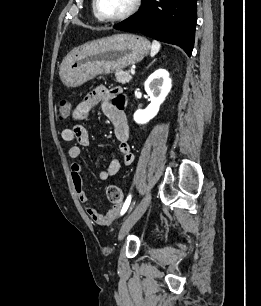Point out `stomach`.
<instances>
[{
  "instance_id": "obj_1",
  "label": "stomach",
  "mask_w": 261,
  "mask_h": 306,
  "mask_svg": "<svg viewBox=\"0 0 261 306\" xmlns=\"http://www.w3.org/2000/svg\"><path fill=\"white\" fill-rule=\"evenodd\" d=\"M150 42L135 34H114L86 43L63 60L59 76L68 87H77L98 75L110 74L141 61Z\"/></svg>"
}]
</instances>
